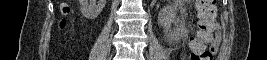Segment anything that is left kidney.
<instances>
[{
    "label": "left kidney",
    "mask_w": 267,
    "mask_h": 60,
    "mask_svg": "<svg viewBox=\"0 0 267 60\" xmlns=\"http://www.w3.org/2000/svg\"><path fill=\"white\" fill-rule=\"evenodd\" d=\"M176 11V8L170 5L163 7L158 14V23L162 27H169L176 19Z\"/></svg>",
    "instance_id": "obj_1"
}]
</instances>
